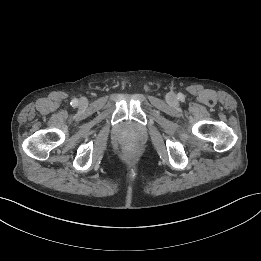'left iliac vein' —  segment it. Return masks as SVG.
<instances>
[{
	"label": "left iliac vein",
	"mask_w": 261,
	"mask_h": 261,
	"mask_svg": "<svg viewBox=\"0 0 261 261\" xmlns=\"http://www.w3.org/2000/svg\"><path fill=\"white\" fill-rule=\"evenodd\" d=\"M167 100L169 102H174L176 100V97H175L174 94L170 93V94L167 95Z\"/></svg>",
	"instance_id": "4c4485c4"
}]
</instances>
